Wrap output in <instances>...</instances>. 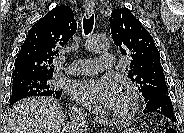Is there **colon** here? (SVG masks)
Masks as SVG:
<instances>
[{"label": "colon", "instance_id": "obj_1", "mask_svg": "<svg viewBox=\"0 0 184 133\" xmlns=\"http://www.w3.org/2000/svg\"><path fill=\"white\" fill-rule=\"evenodd\" d=\"M165 133H175V130L174 129H168L165 131Z\"/></svg>", "mask_w": 184, "mask_h": 133}]
</instances>
